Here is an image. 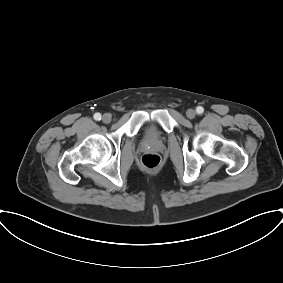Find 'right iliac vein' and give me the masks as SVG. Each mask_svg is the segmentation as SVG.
I'll return each mask as SVG.
<instances>
[{
	"mask_svg": "<svg viewBox=\"0 0 283 283\" xmlns=\"http://www.w3.org/2000/svg\"><path fill=\"white\" fill-rule=\"evenodd\" d=\"M111 115L109 113H105L103 116H102V121L106 124L110 123L111 122Z\"/></svg>",
	"mask_w": 283,
	"mask_h": 283,
	"instance_id": "obj_1",
	"label": "right iliac vein"
}]
</instances>
